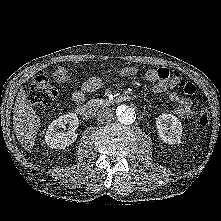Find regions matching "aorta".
Segmentation results:
<instances>
[{
    "label": "aorta",
    "instance_id": "obj_1",
    "mask_svg": "<svg viewBox=\"0 0 221 221\" xmlns=\"http://www.w3.org/2000/svg\"><path fill=\"white\" fill-rule=\"evenodd\" d=\"M118 121L124 125H130L135 121L136 114L134 109L118 107L117 110Z\"/></svg>",
    "mask_w": 221,
    "mask_h": 221
}]
</instances>
